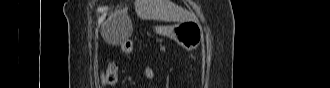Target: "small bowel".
I'll return each mask as SVG.
<instances>
[{
  "label": "small bowel",
  "instance_id": "obj_1",
  "mask_svg": "<svg viewBox=\"0 0 330 88\" xmlns=\"http://www.w3.org/2000/svg\"><path fill=\"white\" fill-rule=\"evenodd\" d=\"M121 50L124 52V53H129L131 52L132 50L128 51V50H125L122 46H121ZM154 76V71L151 67L147 66L145 68V71H144V78L146 81H150Z\"/></svg>",
  "mask_w": 330,
  "mask_h": 88
}]
</instances>
